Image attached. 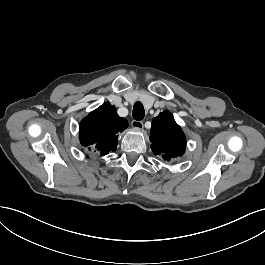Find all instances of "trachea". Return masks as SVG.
<instances>
[{
	"instance_id": "obj_1",
	"label": "trachea",
	"mask_w": 265,
	"mask_h": 265,
	"mask_svg": "<svg viewBox=\"0 0 265 265\" xmlns=\"http://www.w3.org/2000/svg\"><path fill=\"white\" fill-rule=\"evenodd\" d=\"M132 115H133V118L138 121L144 118L145 110H144L142 103L136 102L134 104Z\"/></svg>"
}]
</instances>
